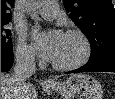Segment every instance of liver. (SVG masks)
Segmentation results:
<instances>
[{
  "mask_svg": "<svg viewBox=\"0 0 115 99\" xmlns=\"http://www.w3.org/2000/svg\"><path fill=\"white\" fill-rule=\"evenodd\" d=\"M1 99H37V92L32 84L19 92L16 89L13 75L1 73Z\"/></svg>",
  "mask_w": 115,
  "mask_h": 99,
  "instance_id": "obj_1",
  "label": "liver"
}]
</instances>
